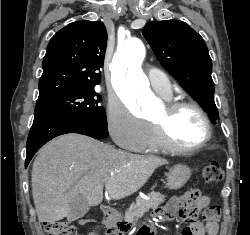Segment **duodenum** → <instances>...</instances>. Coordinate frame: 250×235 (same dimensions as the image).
<instances>
[{"instance_id":"duodenum-1","label":"duodenum","mask_w":250,"mask_h":235,"mask_svg":"<svg viewBox=\"0 0 250 235\" xmlns=\"http://www.w3.org/2000/svg\"><path fill=\"white\" fill-rule=\"evenodd\" d=\"M101 212L105 225V234L126 235L129 232V228L125 226V222L118 220L109 206L102 205ZM138 235H154V230L152 227H149L139 232Z\"/></svg>"}]
</instances>
